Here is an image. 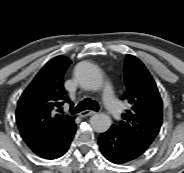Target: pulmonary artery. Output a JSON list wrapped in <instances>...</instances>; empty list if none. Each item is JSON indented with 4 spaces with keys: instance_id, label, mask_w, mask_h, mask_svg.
Listing matches in <instances>:
<instances>
[{
    "instance_id": "obj_1",
    "label": "pulmonary artery",
    "mask_w": 184,
    "mask_h": 173,
    "mask_svg": "<svg viewBox=\"0 0 184 173\" xmlns=\"http://www.w3.org/2000/svg\"><path fill=\"white\" fill-rule=\"evenodd\" d=\"M103 97L105 106L109 113L114 118H120L122 112L121 105L114 97L113 91L108 84L104 87Z\"/></svg>"
}]
</instances>
